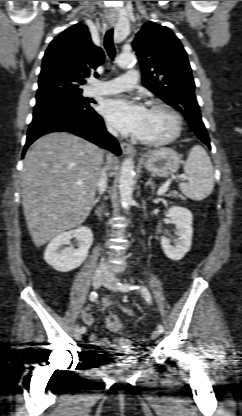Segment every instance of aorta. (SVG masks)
Segmentation results:
<instances>
[{"label":"aorta","instance_id":"762f6f07","mask_svg":"<svg viewBox=\"0 0 242 416\" xmlns=\"http://www.w3.org/2000/svg\"><path fill=\"white\" fill-rule=\"evenodd\" d=\"M135 56L130 52H123L117 58V64L121 68H126L132 64ZM134 185V162L133 159L126 158L121 166L119 178V193L122 207L126 210L130 208L132 203V193Z\"/></svg>","mask_w":242,"mask_h":416}]
</instances>
